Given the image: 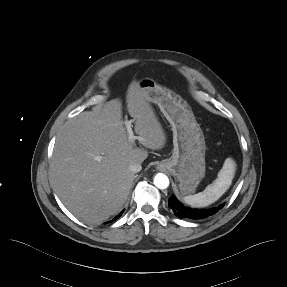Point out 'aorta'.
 Segmentation results:
<instances>
[{
    "instance_id": "obj_1",
    "label": "aorta",
    "mask_w": 287,
    "mask_h": 287,
    "mask_svg": "<svg viewBox=\"0 0 287 287\" xmlns=\"http://www.w3.org/2000/svg\"><path fill=\"white\" fill-rule=\"evenodd\" d=\"M153 182L154 185L161 190H164L169 186V178L163 173H157L154 177Z\"/></svg>"
}]
</instances>
